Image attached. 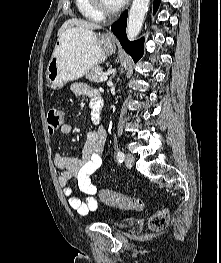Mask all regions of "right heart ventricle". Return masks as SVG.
<instances>
[{
    "label": "right heart ventricle",
    "mask_w": 221,
    "mask_h": 263,
    "mask_svg": "<svg viewBox=\"0 0 221 263\" xmlns=\"http://www.w3.org/2000/svg\"><path fill=\"white\" fill-rule=\"evenodd\" d=\"M78 11L85 18L92 21H102L104 17L100 15L90 4L89 0H75Z\"/></svg>",
    "instance_id": "obj_1"
}]
</instances>
